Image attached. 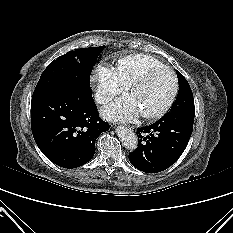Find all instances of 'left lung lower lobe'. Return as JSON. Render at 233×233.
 <instances>
[{"mask_svg": "<svg viewBox=\"0 0 233 233\" xmlns=\"http://www.w3.org/2000/svg\"><path fill=\"white\" fill-rule=\"evenodd\" d=\"M193 122L163 116L157 122L138 128V146L129 154L131 164L147 173L163 171L184 152Z\"/></svg>", "mask_w": 233, "mask_h": 233, "instance_id": "0a47b994", "label": "left lung lower lobe"}]
</instances>
